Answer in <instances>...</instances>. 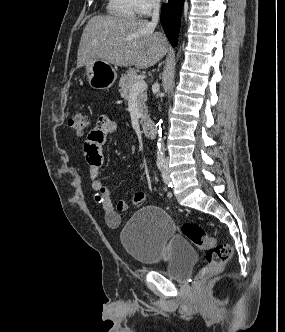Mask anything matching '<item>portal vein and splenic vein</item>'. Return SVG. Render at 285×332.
Instances as JSON below:
<instances>
[{
	"label": "portal vein and splenic vein",
	"instance_id": "obj_1",
	"mask_svg": "<svg viewBox=\"0 0 285 332\" xmlns=\"http://www.w3.org/2000/svg\"><path fill=\"white\" fill-rule=\"evenodd\" d=\"M147 88V84L143 79H140L139 81H137L131 91V95H135V94H139L143 91H145V89Z\"/></svg>",
	"mask_w": 285,
	"mask_h": 332
}]
</instances>
